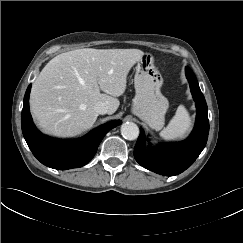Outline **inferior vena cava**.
I'll return each mask as SVG.
<instances>
[{
	"label": "inferior vena cava",
	"instance_id": "inferior-vena-cava-1",
	"mask_svg": "<svg viewBox=\"0 0 243 243\" xmlns=\"http://www.w3.org/2000/svg\"><path fill=\"white\" fill-rule=\"evenodd\" d=\"M94 111L97 114H106L108 113V106L104 102H97L94 106Z\"/></svg>",
	"mask_w": 243,
	"mask_h": 243
}]
</instances>
